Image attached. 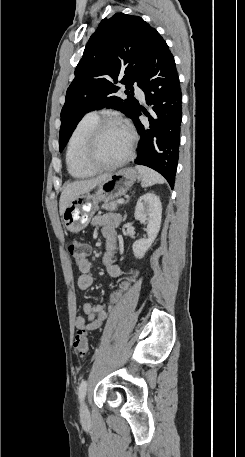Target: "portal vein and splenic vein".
I'll return each instance as SVG.
<instances>
[{
  "label": "portal vein and splenic vein",
  "mask_w": 245,
  "mask_h": 457,
  "mask_svg": "<svg viewBox=\"0 0 245 457\" xmlns=\"http://www.w3.org/2000/svg\"><path fill=\"white\" fill-rule=\"evenodd\" d=\"M118 202H124V198H118Z\"/></svg>",
  "instance_id": "18ae733b"
}]
</instances>
